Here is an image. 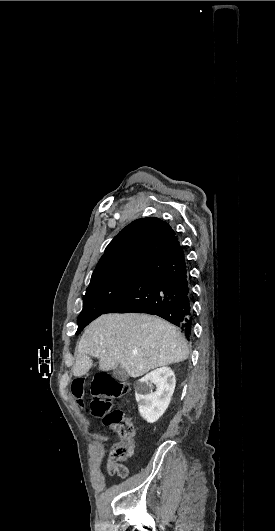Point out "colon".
<instances>
[{
    "instance_id": "obj_1",
    "label": "colon",
    "mask_w": 275,
    "mask_h": 531,
    "mask_svg": "<svg viewBox=\"0 0 275 531\" xmlns=\"http://www.w3.org/2000/svg\"><path fill=\"white\" fill-rule=\"evenodd\" d=\"M89 386L92 395L89 404L91 414L102 418L104 426L113 429L118 436V442L111 451L110 469L125 478L130 470L124 461L130 454L134 418L120 409L113 408V405L122 395L129 392V384L114 378L104 370L97 372L93 379L86 374H79L77 378L68 379V394L72 395V401H83V396L88 395Z\"/></svg>"
}]
</instances>
